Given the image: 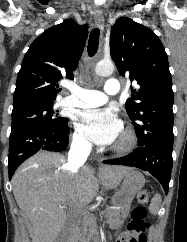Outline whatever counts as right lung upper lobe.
Here are the masks:
<instances>
[{
  "label": "right lung upper lobe",
  "instance_id": "1",
  "mask_svg": "<svg viewBox=\"0 0 187 242\" xmlns=\"http://www.w3.org/2000/svg\"><path fill=\"white\" fill-rule=\"evenodd\" d=\"M88 26L68 19L37 37L26 52L17 76L14 106L53 102L61 90L58 81L73 79L84 50Z\"/></svg>",
  "mask_w": 187,
  "mask_h": 242
}]
</instances>
